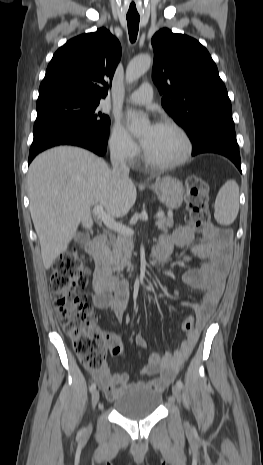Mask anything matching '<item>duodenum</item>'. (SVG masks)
Instances as JSON below:
<instances>
[{"label":"duodenum","mask_w":263,"mask_h":465,"mask_svg":"<svg viewBox=\"0 0 263 465\" xmlns=\"http://www.w3.org/2000/svg\"><path fill=\"white\" fill-rule=\"evenodd\" d=\"M107 236L104 234L97 235L86 245V252L93 261L94 281L99 291L105 292L120 285L121 280L111 274L110 266L106 255ZM167 256L159 258V261H164Z\"/></svg>","instance_id":"duodenum-1"}]
</instances>
